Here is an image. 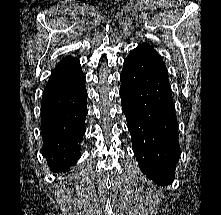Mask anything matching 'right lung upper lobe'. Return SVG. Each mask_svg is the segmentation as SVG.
<instances>
[{
	"label": "right lung upper lobe",
	"instance_id": "right-lung-upper-lobe-1",
	"mask_svg": "<svg viewBox=\"0 0 221 215\" xmlns=\"http://www.w3.org/2000/svg\"><path fill=\"white\" fill-rule=\"evenodd\" d=\"M73 59H75V58H72L71 56L64 57V58L56 65V67L61 66L62 64L66 63V62H69V61H71V60H73ZM56 67H55V68H56Z\"/></svg>",
	"mask_w": 221,
	"mask_h": 215
}]
</instances>
